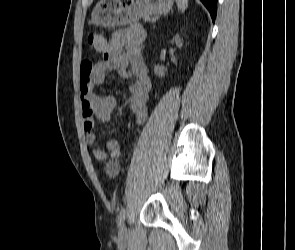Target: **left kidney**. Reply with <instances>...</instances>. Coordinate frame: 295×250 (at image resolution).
I'll return each mask as SVG.
<instances>
[{
	"mask_svg": "<svg viewBox=\"0 0 295 250\" xmlns=\"http://www.w3.org/2000/svg\"><path fill=\"white\" fill-rule=\"evenodd\" d=\"M178 46V47H182V42L181 39L179 38V35H176L175 37H173L171 43H174ZM167 72V69L163 66L157 65L154 68V73L155 75L159 76V77H164L165 74Z\"/></svg>",
	"mask_w": 295,
	"mask_h": 250,
	"instance_id": "5707ae66",
	"label": "left kidney"
}]
</instances>
